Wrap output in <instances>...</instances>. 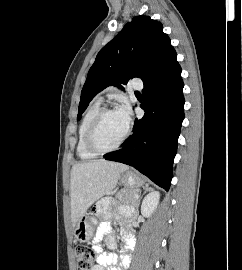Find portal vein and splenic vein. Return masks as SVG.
I'll use <instances>...</instances> for the list:
<instances>
[{
	"mask_svg": "<svg viewBox=\"0 0 242 270\" xmlns=\"http://www.w3.org/2000/svg\"><path fill=\"white\" fill-rule=\"evenodd\" d=\"M135 198L138 199V196L136 195Z\"/></svg>",
	"mask_w": 242,
	"mask_h": 270,
	"instance_id": "portal-vein-and-splenic-vein-1",
	"label": "portal vein and splenic vein"
}]
</instances>
